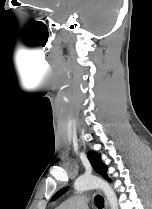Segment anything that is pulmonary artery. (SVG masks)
Instances as JSON below:
<instances>
[{"label":"pulmonary artery","instance_id":"pulmonary-artery-1","mask_svg":"<svg viewBox=\"0 0 152 209\" xmlns=\"http://www.w3.org/2000/svg\"><path fill=\"white\" fill-rule=\"evenodd\" d=\"M88 203L86 195H78L66 200L58 209H88Z\"/></svg>","mask_w":152,"mask_h":209}]
</instances>
